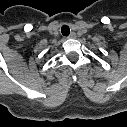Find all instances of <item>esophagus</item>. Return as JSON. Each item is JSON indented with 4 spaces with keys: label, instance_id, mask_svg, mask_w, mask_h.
<instances>
[{
    "label": "esophagus",
    "instance_id": "esophagus-1",
    "mask_svg": "<svg viewBox=\"0 0 127 127\" xmlns=\"http://www.w3.org/2000/svg\"><path fill=\"white\" fill-rule=\"evenodd\" d=\"M67 38H70V39L76 38V33L75 32H71L70 35Z\"/></svg>",
    "mask_w": 127,
    "mask_h": 127
}]
</instances>
